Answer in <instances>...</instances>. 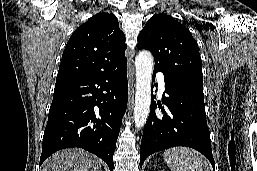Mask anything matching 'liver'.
<instances>
[{
	"label": "liver",
	"instance_id": "1",
	"mask_svg": "<svg viewBox=\"0 0 257 171\" xmlns=\"http://www.w3.org/2000/svg\"><path fill=\"white\" fill-rule=\"evenodd\" d=\"M42 171H101V161L80 148L64 149L45 160Z\"/></svg>",
	"mask_w": 257,
	"mask_h": 171
}]
</instances>
